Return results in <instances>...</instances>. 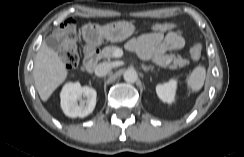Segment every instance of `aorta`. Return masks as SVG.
I'll return each instance as SVG.
<instances>
[{
	"instance_id": "obj_1",
	"label": "aorta",
	"mask_w": 244,
	"mask_h": 157,
	"mask_svg": "<svg viewBox=\"0 0 244 157\" xmlns=\"http://www.w3.org/2000/svg\"><path fill=\"white\" fill-rule=\"evenodd\" d=\"M124 80L128 83H134L137 81V78H138V75H137V72L130 68V69H127L125 72H124Z\"/></svg>"
}]
</instances>
